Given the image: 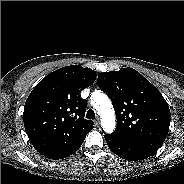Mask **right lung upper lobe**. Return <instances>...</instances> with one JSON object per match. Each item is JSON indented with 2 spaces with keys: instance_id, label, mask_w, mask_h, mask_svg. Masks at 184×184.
Wrapping results in <instances>:
<instances>
[{
  "instance_id": "right-lung-upper-lobe-1",
  "label": "right lung upper lobe",
  "mask_w": 184,
  "mask_h": 184,
  "mask_svg": "<svg viewBox=\"0 0 184 184\" xmlns=\"http://www.w3.org/2000/svg\"><path fill=\"white\" fill-rule=\"evenodd\" d=\"M96 79V72L80 65L48 74L32 90L23 121L34 148L43 156L81 145L93 122L85 120L87 101L80 93Z\"/></svg>"
}]
</instances>
